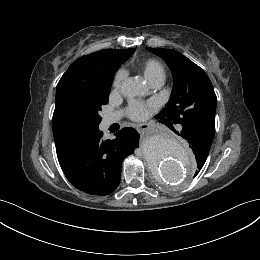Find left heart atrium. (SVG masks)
Instances as JSON below:
<instances>
[{"label":"left heart atrium","instance_id":"1","mask_svg":"<svg viewBox=\"0 0 260 260\" xmlns=\"http://www.w3.org/2000/svg\"><path fill=\"white\" fill-rule=\"evenodd\" d=\"M129 116L134 120H143L149 114L148 106L144 103L133 102L129 108Z\"/></svg>","mask_w":260,"mask_h":260}]
</instances>
